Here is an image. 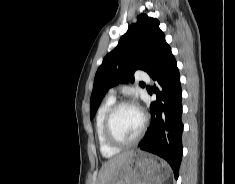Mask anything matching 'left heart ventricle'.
<instances>
[{
    "instance_id": "left-heart-ventricle-1",
    "label": "left heart ventricle",
    "mask_w": 235,
    "mask_h": 184,
    "mask_svg": "<svg viewBox=\"0 0 235 184\" xmlns=\"http://www.w3.org/2000/svg\"><path fill=\"white\" fill-rule=\"evenodd\" d=\"M142 115L134 107L121 108L114 117L113 128L115 134L122 140H131L140 131Z\"/></svg>"
}]
</instances>
